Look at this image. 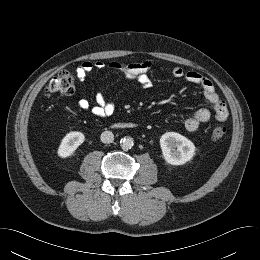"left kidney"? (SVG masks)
<instances>
[{
    "instance_id": "5707ae66",
    "label": "left kidney",
    "mask_w": 260,
    "mask_h": 260,
    "mask_svg": "<svg viewBox=\"0 0 260 260\" xmlns=\"http://www.w3.org/2000/svg\"><path fill=\"white\" fill-rule=\"evenodd\" d=\"M160 146L165 161L171 165H184L195 154V145L176 132L163 134L160 138Z\"/></svg>"
}]
</instances>
